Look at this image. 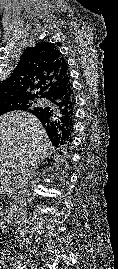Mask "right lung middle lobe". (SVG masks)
Returning <instances> with one entry per match:
<instances>
[{
  "mask_svg": "<svg viewBox=\"0 0 118 269\" xmlns=\"http://www.w3.org/2000/svg\"><path fill=\"white\" fill-rule=\"evenodd\" d=\"M31 102L29 100L17 102V103H8L0 105V115L14 111V110H26L29 106H31Z\"/></svg>",
  "mask_w": 118,
  "mask_h": 269,
  "instance_id": "1",
  "label": "right lung middle lobe"
}]
</instances>
